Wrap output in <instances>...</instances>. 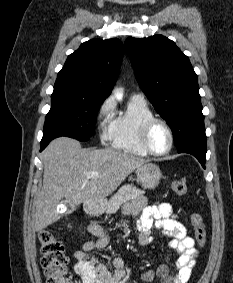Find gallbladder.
Returning a JSON list of instances; mask_svg holds the SVG:
<instances>
[{
    "instance_id": "1",
    "label": "gallbladder",
    "mask_w": 233,
    "mask_h": 283,
    "mask_svg": "<svg viewBox=\"0 0 233 283\" xmlns=\"http://www.w3.org/2000/svg\"><path fill=\"white\" fill-rule=\"evenodd\" d=\"M75 208H76V207H69V209L72 210V211L75 210Z\"/></svg>"
}]
</instances>
